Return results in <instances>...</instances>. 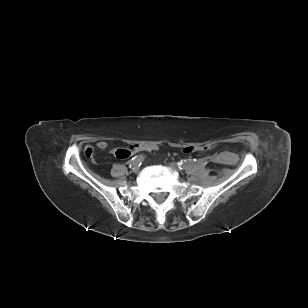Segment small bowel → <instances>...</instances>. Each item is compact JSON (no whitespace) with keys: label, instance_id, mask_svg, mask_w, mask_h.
<instances>
[{"label":"small bowel","instance_id":"1","mask_svg":"<svg viewBox=\"0 0 308 308\" xmlns=\"http://www.w3.org/2000/svg\"><path fill=\"white\" fill-rule=\"evenodd\" d=\"M133 145H135V144H133ZM107 146H108V145H107V143H106L105 141H99V142H97V147H98L99 149H101V150L106 149ZM213 159H214L215 161H220L221 157H220V156H215Z\"/></svg>","mask_w":308,"mask_h":308}]
</instances>
